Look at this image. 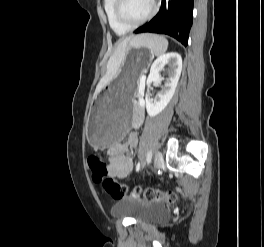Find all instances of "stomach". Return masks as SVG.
<instances>
[{"label": "stomach", "instance_id": "0dacf381", "mask_svg": "<svg viewBox=\"0 0 264 247\" xmlns=\"http://www.w3.org/2000/svg\"><path fill=\"white\" fill-rule=\"evenodd\" d=\"M145 35L140 36L129 44L132 53L123 57L118 76L105 86L93 106L87 124V138L95 149L114 147L115 142L122 141L131 123L132 97L135 93L139 75L148 68L150 49L142 44ZM147 47V48H144Z\"/></svg>", "mask_w": 264, "mask_h": 247}]
</instances>
